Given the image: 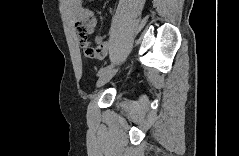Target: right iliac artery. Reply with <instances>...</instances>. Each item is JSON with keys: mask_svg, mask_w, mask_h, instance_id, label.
I'll list each match as a JSON object with an SVG mask.
<instances>
[{"mask_svg": "<svg viewBox=\"0 0 239 156\" xmlns=\"http://www.w3.org/2000/svg\"><path fill=\"white\" fill-rule=\"evenodd\" d=\"M113 66V64L109 65V66H106V67H102L98 73H97V76H101L102 74H104L108 69H110L111 67Z\"/></svg>", "mask_w": 239, "mask_h": 156, "instance_id": "82829eb1", "label": "right iliac artery"}]
</instances>
